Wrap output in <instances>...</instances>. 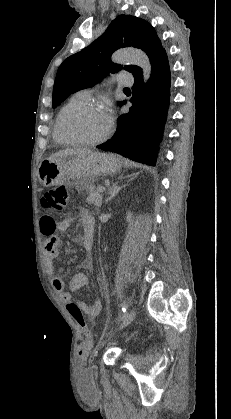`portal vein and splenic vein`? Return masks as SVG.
Wrapping results in <instances>:
<instances>
[{
	"mask_svg": "<svg viewBox=\"0 0 231 419\" xmlns=\"http://www.w3.org/2000/svg\"><path fill=\"white\" fill-rule=\"evenodd\" d=\"M98 190H99V192H104V191H105V187H104V186H100V187L98 188Z\"/></svg>",
	"mask_w": 231,
	"mask_h": 419,
	"instance_id": "1",
	"label": "portal vein and splenic vein"
}]
</instances>
